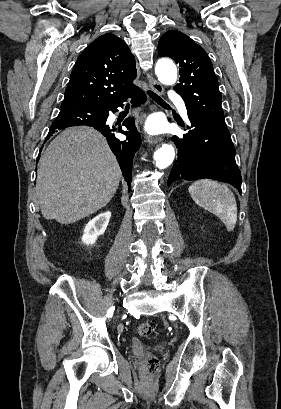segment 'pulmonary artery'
Segmentation results:
<instances>
[{"label": "pulmonary artery", "instance_id": "pulmonary-artery-1", "mask_svg": "<svg viewBox=\"0 0 281 409\" xmlns=\"http://www.w3.org/2000/svg\"><path fill=\"white\" fill-rule=\"evenodd\" d=\"M171 101L173 103H180L179 104L180 113L184 118H187V116H188L187 108H186L184 103H181L183 101V96L181 94H173L171 96Z\"/></svg>", "mask_w": 281, "mask_h": 409}]
</instances>
